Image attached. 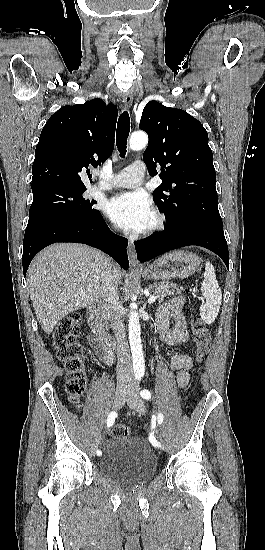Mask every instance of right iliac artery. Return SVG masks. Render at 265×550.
Wrapping results in <instances>:
<instances>
[{"label":"right iliac artery","mask_w":265,"mask_h":550,"mask_svg":"<svg viewBox=\"0 0 265 550\" xmlns=\"http://www.w3.org/2000/svg\"><path fill=\"white\" fill-rule=\"evenodd\" d=\"M116 417H117V413L115 411H112L109 413L107 418V427H111L114 424ZM101 454L102 452L100 450H97V455H101Z\"/></svg>","instance_id":"right-iliac-artery-1"}]
</instances>
